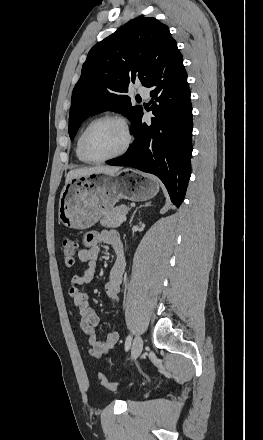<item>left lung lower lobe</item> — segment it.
<instances>
[{
  "mask_svg": "<svg viewBox=\"0 0 263 440\" xmlns=\"http://www.w3.org/2000/svg\"><path fill=\"white\" fill-rule=\"evenodd\" d=\"M146 87L152 88L151 123L133 122L135 141L129 151L109 165L129 166L151 173L166 186L179 207L191 175L192 107L187 73L179 50Z\"/></svg>",
  "mask_w": 263,
  "mask_h": 440,
  "instance_id": "left-lung-lower-lobe-1",
  "label": "left lung lower lobe"
}]
</instances>
